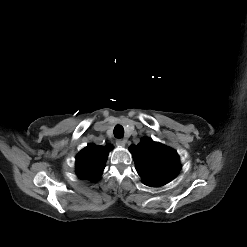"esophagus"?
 <instances>
[{"mask_svg":"<svg viewBox=\"0 0 247 247\" xmlns=\"http://www.w3.org/2000/svg\"><path fill=\"white\" fill-rule=\"evenodd\" d=\"M125 144H126V140H124V139H117L116 140V145L119 147H124Z\"/></svg>","mask_w":247,"mask_h":247,"instance_id":"esophagus-1","label":"esophagus"}]
</instances>
